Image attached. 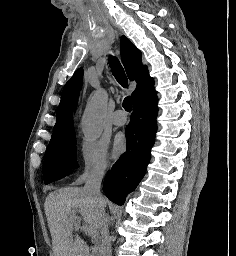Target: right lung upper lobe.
Here are the masks:
<instances>
[{"label": "right lung upper lobe", "instance_id": "1", "mask_svg": "<svg viewBox=\"0 0 236 256\" xmlns=\"http://www.w3.org/2000/svg\"><path fill=\"white\" fill-rule=\"evenodd\" d=\"M121 59L130 80L137 82V88L132 93L133 102L154 86V80L148 74L146 66L142 65V54L125 36L121 37ZM83 69H78L66 83L61 94L57 110V120L51 140L63 138L74 132L72 122L73 105L77 92L82 85Z\"/></svg>", "mask_w": 236, "mask_h": 256}]
</instances>
